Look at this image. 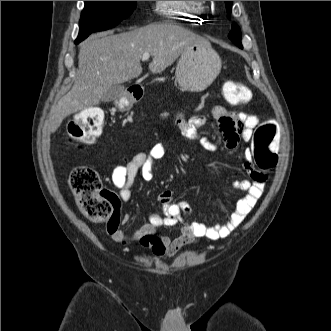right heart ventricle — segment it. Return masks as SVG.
I'll list each match as a JSON object with an SVG mask.
<instances>
[{
  "instance_id": "obj_1",
  "label": "right heart ventricle",
  "mask_w": 331,
  "mask_h": 331,
  "mask_svg": "<svg viewBox=\"0 0 331 331\" xmlns=\"http://www.w3.org/2000/svg\"><path fill=\"white\" fill-rule=\"evenodd\" d=\"M156 11L166 18L194 22L203 11L202 1H156Z\"/></svg>"
}]
</instances>
